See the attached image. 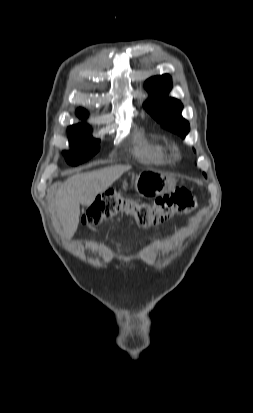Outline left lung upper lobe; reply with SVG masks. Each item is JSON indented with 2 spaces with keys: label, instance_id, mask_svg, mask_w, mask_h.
Returning a JSON list of instances; mask_svg holds the SVG:
<instances>
[{
  "label": "left lung upper lobe",
  "instance_id": "left-lung-upper-lobe-1",
  "mask_svg": "<svg viewBox=\"0 0 253 413\" xmlns=\"http://www.w3.org/2000/svg\"><path fill=\"white\" fill-rule=\"evenodd\" d=\"M145 88L150 94L144 104L146 111L164 128L185 138L189 132V123L181 116L182 103L167 97L172 88L170 76L165 74L151 77L145 82Z\"/></svg>",
  "mask_w": 253,
  "mask_h": 413
}]
</instances>
